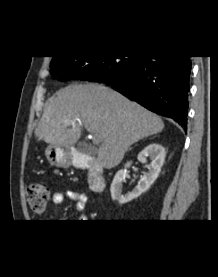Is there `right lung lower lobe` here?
Returning a JSON list of instances; mask_svg holds the SVG:
<instances>
[{
	"mask_svg": "<svg viewBox=\"0 0 218 277\" xmlns=\"http://www.w3.org/2000/svg\"><path fill=\"white\" fill-rule=\"evenodd\" d=\"M190 56H142L122 79L101 81L157 114L170 117L187 129Z\"/></svg>",
	"mask_w": 218,
	"mask_h": 277,
	"instance_id": "right-lung-lower-lobe-1",
	"label": "right lung lower lobe"
}]
</instances>
